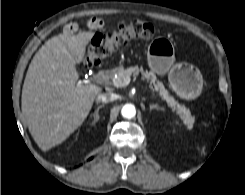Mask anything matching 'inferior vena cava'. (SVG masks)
<instances>
[{"instance_id":"602c4592","label":"inferior vena cava","mask_w":245,"mask_h":195,"mask_svg":"<svg viewBox=\"0 0 245 195\" xmlns=\"http://www.w3.org/2000/svg\"><path fill=\"white\" fill-rule=\"evenodd\" d=\"M116 99H117L116 94L107 92V93L98 94L96 97V102L97 103H99V102L108 103V102H112Z\"/></svg>"}]
</instances>
